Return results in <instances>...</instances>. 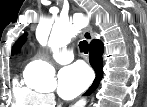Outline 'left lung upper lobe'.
Returning <instances> with one entry per match:
<instances>
[{"label": "left lung upper lobe", "instance_id": "5c2ea615", "mask_svg": "<svg viewBox=\"0 0 147 107\" xmlns=\"http://www.w3.org/2000/svg\"><path fill=\"white\" fill-rule=\"evenodd\" d=\"M26 36L27 34L22 35L14 44L13 46V51H18L20 50L21 46L24 44V42L26 41Z\"/></svg>", "mask_w": 147, "mask_h": 107}]
</instances>
